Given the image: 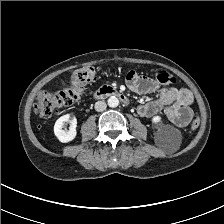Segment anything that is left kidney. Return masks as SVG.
<instances>
[{"label": "left kidney", "mask_w": 224, "mask_h": 224, "mask_svg": "<svg viewBox=\"0 0 224 224\" xmlns=\"http://www.w3.org/2000/svg\"><path fill=\"white\" fill-rule=\"evenodd\" d=\"M161 122V117L160 116H154L153 118H152V123H154V124H158V123H160Z\"/></svg>", "instance_id": "1"}]
</instances>
